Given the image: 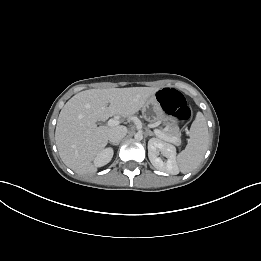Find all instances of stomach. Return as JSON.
Returning <instances> with one entry per match:
<instances>
[{
	"mask_svg": "<svg viewBox=\"0 0 261 261\" xmlns=\"http://www.w3.org/2000/svg\"><path fill=\"white\" fill-rule=\"evenodd\" d=\"M142 112L148 121H156L164 117V113L155 94L147 100L142 108Z\"/></svg>",
	"mask_w": 261,
	"mask_h": 261,
	"instance_id": "stomach-1",
	"label": "stomach"
}]
</instances>
